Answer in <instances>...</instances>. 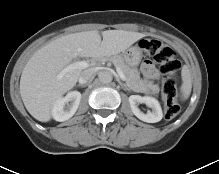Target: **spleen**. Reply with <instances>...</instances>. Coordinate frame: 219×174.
I'll list each match as a JSON object with an SVG mask.
<instances>
[{
  "instance_id": "spleen-1",
  "label": "spleen",
  "mask_w": 219,
  "mask_h": 174,
  "mask_svg": "<svg viewBox=\"0 0 219 174\" xmlns=\"http://www.w3.org/2000/svg\"><path fill=\"white\" fill-rule=\"evenodd\" d=\"M182 86H181V92L183 99H187L191 93V77H190V72L187 66H184L182 68Z\"/></svg>"
}]
</instances>
